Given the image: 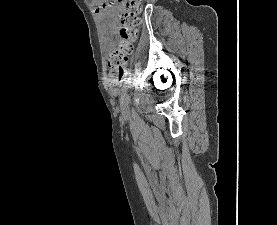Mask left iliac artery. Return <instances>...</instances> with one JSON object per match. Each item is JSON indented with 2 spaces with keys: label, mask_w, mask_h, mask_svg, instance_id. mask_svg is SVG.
<instances>
[{
  "label": "left iliac artery",
  "mask_w": 277,
  "mask_h": 225,
  "mask_svg": "<svg viewBox=\"0 0 277 225\" xmlns=\"http://www.w3.org/2000/svg\"><path fill=\"white\" fill-rule=\"evenodd\" d=\"M132 79H133V77H131V76L125 78L124 83H123V86H122V88H121V93H122V94L125 93V92L127 91L128 87H129V85H130V83L132 82Z\"/></svg>",
  "instance_id": "44dca946"
}]
</instances>
